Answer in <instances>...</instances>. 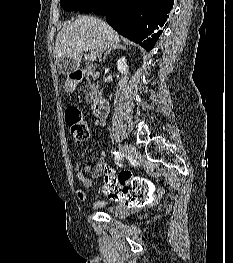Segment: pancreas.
Returning <instances> with one entry per match:
<instances>
[{
    "mask_svg": "<svg viewBox=\"0 0 233 263\" xmlns=\"http://www.w3.org/2000/svg\"><path fill=\"white\" fill-rule=\"evenodd\" d=\"M87 81H88L87 87L90 89L88 92V96L90 100H93L94 97L97 95L98 85H96L95 83H91L89 79H87Z\"/></svg>",
    "mask_w": 233,
    "mask_h": 263,
    "instance_id": "1",
    "label": "pancreas"
}]
</instances>
